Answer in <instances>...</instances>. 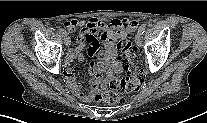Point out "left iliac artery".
<instances>
[{
  "mask_svg": "<svg viewBox=\"0 0 207 123\" xmlns=\"http://www.w3.org/2000/svg\"><path fill=\"white\" fill-rule=\"evenodd\" d=\"M145 29H146V24H142L139 29H138V32H140L141 34H143L145 32Z\"/></svg>",
  "mask_w": 207,
  "mask_h": 123,
  "instance_id": "left-iliac-artery-1",
  "label": "left iliac artery"
}]
</instances>
